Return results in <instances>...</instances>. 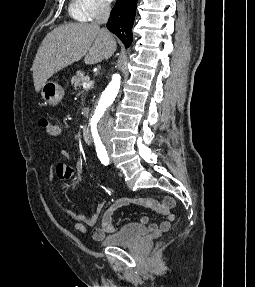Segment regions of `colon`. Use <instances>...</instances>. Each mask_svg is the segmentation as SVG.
I'll list each match as a JSON object with an SVG mask.
<instances>
[{"mask_svg": "<svg viewBox=\"0 0 255 287\" xmlns=\"http://www.w3.org/2000/svg\"><path fill=\"white\" fill-rule=\"evenodd\" d=\"M39 125L52 137H58L61 133V127L57 123L51 121L48 117H40Z\"/></svg>", "mask_w": 255, "mask_h": 287, "instance_id": "obj_1", "label": "colon"}]
</instances>
